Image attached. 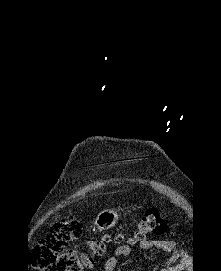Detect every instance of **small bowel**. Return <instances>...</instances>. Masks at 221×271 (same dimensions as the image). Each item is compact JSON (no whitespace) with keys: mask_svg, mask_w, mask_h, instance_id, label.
I'll use <instances>...</instances> for the list:
<instances>
[{"mask_svg":"<svg viewBox=\"0 0 221 271\" xmlns=\"http://www.w3.org/2000/svg\"><path fill=\"white\" fill-rule=\"evenodd\" d=\"M140 246L143 249H155L161 250L170 255L169 263L173 264L178 260L179 253L177 250L176 242L168 239H148L144 238L140 240ZM131 249L128 245L119 246L113 256L108 257L103 263V271H114L117 265V258L126 256L130 253ZM183 265H176L169 269H162V271H182Z\"/></svg>","mask_w":221,"mask_h":271,"instance_id":"small-bowel-1","label":"small bowel"}]
</instances>
